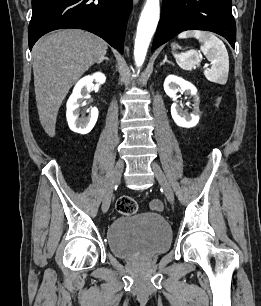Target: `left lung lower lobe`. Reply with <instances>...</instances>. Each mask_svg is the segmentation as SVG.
<instances>
[{"label": "left lung lower lobe", "mask_w": 261, "mask_h": 306, "mask_svg": "<svg viewBox=\"0 0 261 306\" xmlns=\"http://www.w3.org/2000/svg\"><path fill=\"white\" fill-rule=\"evenodd\" d=\"M186 30L215 32L234 48L236 24L231 0H163L152 51Z\"/></svg>", "instance_id": "0a47b994"}]
</instances>
